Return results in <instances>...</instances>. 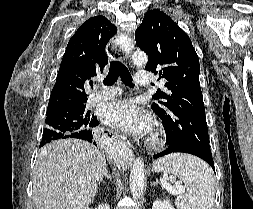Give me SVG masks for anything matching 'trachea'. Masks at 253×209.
<instances>
[{
  "mask_svg": "<svg viewBox=\"0 0 253 209\" xmlns=\"http://www.w3.org/2000/svg\"><path fill=\"white\" fill-rule=\"evenodd\" d=\"M119 76L121 77V80L125 85L129 87H134L130 72L128 71L126 66L120 61H112L110 63L109 73L103 80V83L105 85H112L116 82Z\"/></svg>",
  "mask_w": 253,
  "mask_h": 209,
  "instance_id": "trachea-1",
  "label": "trachea"
}]
</instances>
